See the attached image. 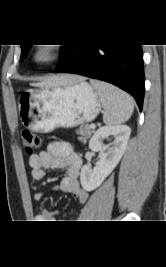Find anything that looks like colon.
Masks as SVG:
<instances>
[{
    "label": "colon",
    "instance_id": "obj_1",
    "mask_svg": "<svg viewBox=\"0 0 166 267\" xmlns=\"http://www.w3.org/2000/svg\"><path fill=\"white\" fill-rule=\"evenodd\" d=\"M21 141L27 153H33L41 146L40 137L36 133L29 130L22 132Z\"/></svg>",
    "mask_w": 166,
    "mask_h": 267
}]
</instances>
